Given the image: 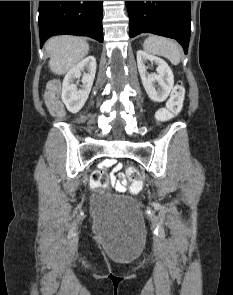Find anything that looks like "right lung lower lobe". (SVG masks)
<instances>
[{
    "instance_id": "obj_1",
    "label": "right lung lower lobe",
    "mask_w": 233,
    "mask_h": 295,
    "mask_svg": "<svg viewBox=\"0 0 233 295\" xmlns=\"http://www.w3.org/2000/svg\"><path fill=\"white\" fill-rule=\"evenodd\" d=\"M103 1H39L40 45L53 35L89 36L103 41Z\"/></svg>"
}]
</instances>
